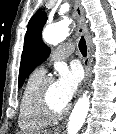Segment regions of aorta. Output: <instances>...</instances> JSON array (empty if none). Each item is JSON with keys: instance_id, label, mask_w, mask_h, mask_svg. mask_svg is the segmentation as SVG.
<instances>
[{"instance_id": "aorta-1", "label": "aorta", "mask_w": 116, "mask_h": 134, "mask_svg": "<svg viewBox=\"0 0 116 134\" xmlns=\"http://www.w3.org/2000/svg\"><path fill=\"white\" fill-rule=\"evenodd\" d=\"M69 31L70 22L68 20H63L46 26L43 31V39L46 43L55 45L62 42L69 35ZM89 108L90 96L84 94L76 102L69 117V122L67 125L68 134H78V131L83 126V123L87 117Z\"/></svg>"}]
</instances>
